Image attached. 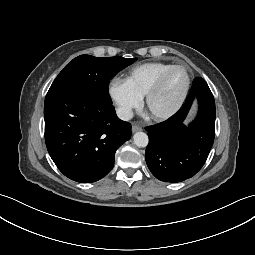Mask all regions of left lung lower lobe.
Instances as JSON below:
<instances>
[{
	"label": "left lung lower lobe",
	"instance_id": "0a47b994",
	"mask_svg": "<svg viewBox=\"0 0 255 255\" xmlns=\"http://www.w3.org/2000/svg\"><path fill=\"white\" fill-rule=\"evenodd\" d=\"M199 111L189 125L183 123L194 100ZM215 101L205 80L194 79L182 108L168 120L146 127L149 144L145 159L151 173L164 182L176 183L194 176L204 165L215 136Z\"/></svg>",
	"mask_w": 255,
	"mask_h": 255
}]
</instances>
